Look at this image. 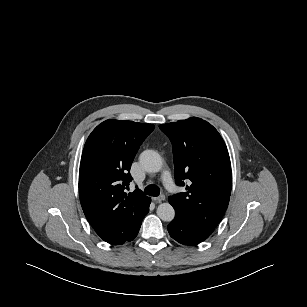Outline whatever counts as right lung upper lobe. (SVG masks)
Segmentation results:
<instances>
[{
	"label": "right lung upper lobe",
	"mask_w": 307,
	"mask_h": 307,
	"mask_svg": "<svg viewBox=\"0 0 307 307\" xmlns=\"http://www.w3.org/2000/svg\"><path fill=\"white\" fill-rule=\"evenodd\" d=\"M152 124L106 120L89 135L81 157L79 196L97 234L111 244L132 241L149 211L150 198L136 189L126 194L133 159Z\"/></svg>",
	"instance_id": "obj_1"
}]
</instances>
